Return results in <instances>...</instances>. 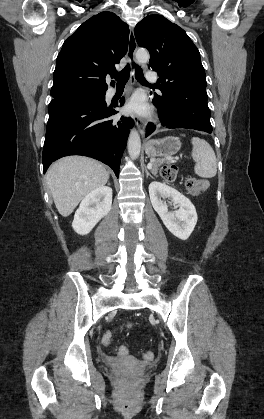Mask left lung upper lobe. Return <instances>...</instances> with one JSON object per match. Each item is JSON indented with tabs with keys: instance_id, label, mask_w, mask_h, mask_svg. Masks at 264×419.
<instances>
[{
	"instance_id": "5c2ea615",
	"label": "left lung upper lobe",
	"mask_w": 264,
	"mask_h": 419,
	"mask_svg": "<svg viewBox=\"0 0 264 419\" xmlns=\"http://www.w3.org/2000/svg\"><path fill=\"white\" fill-rule=\"evenodd\" d=\"M134 33L138 45L150 52L149 68L158 73L162 95L206 87L200 53L182 28L161 15H150Z\"/></svg>"
}]
</instances>
